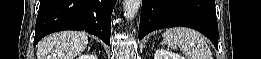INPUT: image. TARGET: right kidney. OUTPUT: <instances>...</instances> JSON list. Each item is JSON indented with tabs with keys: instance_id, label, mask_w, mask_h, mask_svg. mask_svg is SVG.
I'll return each mask as SVG.
<instances>
[{
	"instance_id": "right-kidney-1",
	"label": "right kidney",
	"mask_w": 261,
	"mask_h": 59,
	"mask_svg": "<svg viewBox=\"0 0 261 59\" xmlns=\"http://www.w3.org/2000/svg\"><path fill=\"white\" fill-rule=\"evenodd\" d=\"M78 59H97V57L96 56H85V55H83V56L78 57Z\"/></svg>"
}]
</instances>
